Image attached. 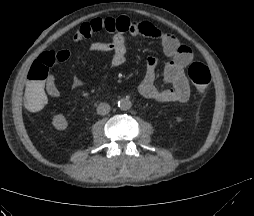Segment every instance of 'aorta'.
I'll list each match as a JSON object with an SVG mask.
<instances>
[{
	"instance_id": "1",
	"label": "aorta",
	"mask_w": 254,
	"mask_h": 216,
	"mask_svg": "<svg viewBox=\"0 0 254 216\" xmlns=\"http://www.w3.org/2000/svg\"><path fill=\"white\" fill-rule=\"evenodd\" d=\"M131 106H132V103H131V101L128 98H121L118 101V107L122 111L129 110L131 108Z\"/></svg>"
}]
</instances>
